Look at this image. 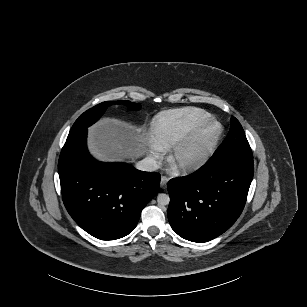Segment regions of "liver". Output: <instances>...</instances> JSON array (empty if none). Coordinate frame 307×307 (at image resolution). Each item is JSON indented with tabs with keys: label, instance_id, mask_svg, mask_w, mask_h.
Here are the masks:
<instances>
[{
	"label": "liver",
	"instance_id": "6515ba94",
	"mask_svg": "<svg viewBox=\"0 0 307 307\" xmlns=\"http://www.w3.org/2000/svg\"><path fill=\"white\" fill-rule=\"evenodd\" d=\"M86 149L105 164H131L151 153L146 125L115 116H103L87 128Z\"/></svg>",
	"mask_w": 307,
	"mask_h": 307
}]
</instances>
